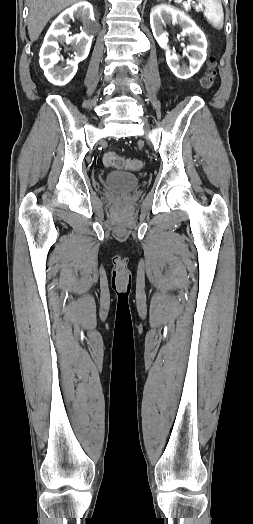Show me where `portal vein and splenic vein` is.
Returning <instances> with one entry per match:
<instances>
[{"label": "portal vein and splenic vein", "mask_w": 253, "mask_h": 524, "mask_svg": "<svg viewBox=\"0 0 253 524\" xmlns=\"http://www.w3.org/2000/svg\"><path fill=\"white\" fill-rule=\"evenodd\" d=\"M189 6H190V2H189V1H188V2H184V7H185L186 9H188ZM195 9H196L197 11H199V10H202L203 7H202V5H196V6H195Z\"/></svg>", "instance_id": "1"}]
</instances>
